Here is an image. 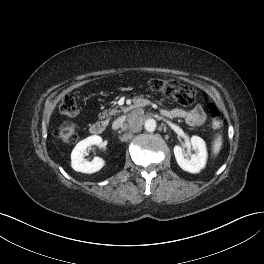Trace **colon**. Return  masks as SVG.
I'll list each match as a JSON object with an SVG mask.
<instances>
[{
  "label": "colon",
  "mask_w": 264,
  "mask_h": 264,
  "mask_svg": "<svg viewBox=\"0 0 264 264\" xmlns=\"http://www.w3.org/2000/svg\"><path fill=\"white\" fill-rule=\"evenodd\" d=\"M152 90L162 93L178 102L181 105H191L196 99V92L193 88L182 85L174 80L153 79L149 82ZM61 114L68 117H75L79 113L77 98L73 94L65 96L59 106ZM209 113L212 119L214 128H219L222 125L221 113L214 103L209 104ZM55 136L64 143L76 142L78 135L76 127L71 122H65L59 126L55 132Z\"/></svg>",
  "instance_id": "obj_1"
}]
</instances>
